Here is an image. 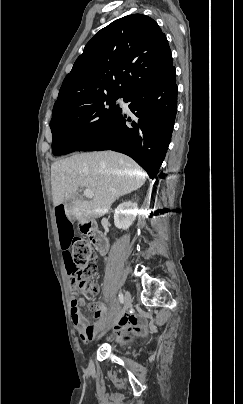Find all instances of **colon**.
<instances>
[{
    "mask_svg": "<svg viewBox=\"0 0 243 404\" xmlns=\"http://www.w3.org/2000/svg\"><path fill=\"white\" fill-rule=\"evenodd\" d=\"M73 281L80 293L96 294L92 279L97 272V264L91 243L86 239H76L72 247Z\"/></svg>",
    "mask_w": 243,
    "mask_h": 404,
    "instance_id": "5ec220e1",
    "label": "colon"
}]
</instances>
